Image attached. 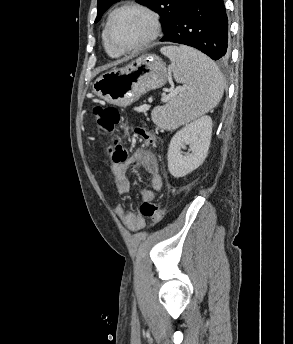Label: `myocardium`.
<instances>
[{"label":"myocardium","mask_w":293,"mask_h":344,"mask_svg":"<svg viewBox=\"0 0 293 344\" xmlns=\"http://www.w3.org/2000/svg\"><path fill=\"white\" fill-rule=\"evenodd\" d=\"M125 10H136V11L144 14L149 21V33L141 42H139L133 46L126 47V48H118L111 41L110 28H111L112 22H113L114 18L116 17V15L122 11H125ZM160 31H161V23H160L159 16L155 11H153L148 6L140 4V3L127 2V3L120 5L119 7L115 8L110 13L108 20H107V23H106L105 28H104V37H105V41H106L107 45L113 51L122 55V54H126V53H132V52L140 51V50L144 49L145 47L149 46L153 41H155L158 38Z\"/></svg>","instance_id":"f54148a6"}]
</instances>
